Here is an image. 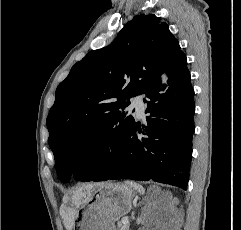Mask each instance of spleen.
<instances>
[{
  "label": "spleen",
  "instance_id": "obj_1",
  "mask_svg": "<svg viewBox=\"0 0 241 230\" xmlns=\"http://www.w3.org/2000/svg\"><path fill=\"white\" fill-rule=\"evenodd\" d=\"M126 184H128L129 186L133 187L135 190H137L140 194H144L145 193V189L142 187V185L136 183V182H132V181H127Z\"/></svg>",
  "mask_w": 241,
  "mask_h": 230
}]
</instances>
